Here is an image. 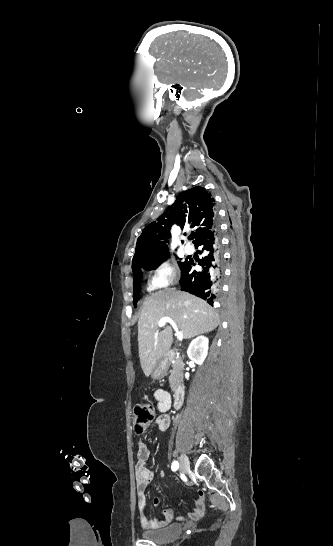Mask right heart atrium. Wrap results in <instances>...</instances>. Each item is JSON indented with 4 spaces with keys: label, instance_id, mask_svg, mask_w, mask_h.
Here are the masks:
<instances>
[{
    "label": "right heart atrium",
    "instance_id": "1",
    "mask_svg": "<svg viewBox=\"0 0 333 546\" xmlns=\"http://www.w3.org/2000/svg\"><path fill=\"white\" fill-rule=\"evenodd\" d=\"M177 280V271L169 262L161 263L148 279V290L154 291L167 288L173 285Z\"/></svg>",
    "mask_w": 333,
    "mask_h": 546
}]
</instances>
